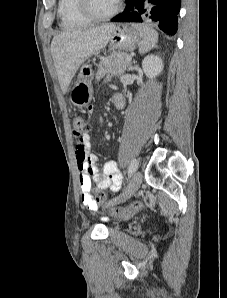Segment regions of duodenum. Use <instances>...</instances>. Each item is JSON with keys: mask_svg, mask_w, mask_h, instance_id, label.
Masks as SVG:
<instances>
[{"mask_svg": "<svg viewBox=\"0 0 227 298\" xmlns=\"http://www.w3.org/2000/svg\"><path fill=\"white\" fill-rule=\"evenodd\" d=\"M113 104H114L115 108H117V109H122L124 106V102L119 97H115L113 99Z\"/></svg>", "mask_w": 227, "mask_h": 298, "instance_id": "obj_1", "label": "duodenum"}]
</instances>
